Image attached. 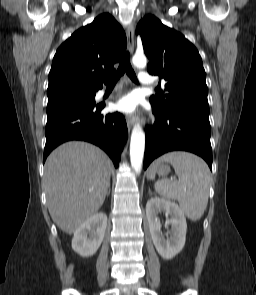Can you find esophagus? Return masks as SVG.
Wrapping results in <instances>:
<instances>
[{
  "label": "esophagus",
  "instance_id": "obj_1",
  "mask_svg": "<svg viewBox=\"0 0 256 295\" xmlns=\"http://www.w3.org/2000/svg\"><path fill=\"white\" fill-rule=\"evenodd\" d=\"M127 46L129 53L132 54L134 51V25L132 23H130L127 27ZM135 120L136 118L134 115L126 117V123L129 131L135 124Z\"/></svg>",
  "mask_w": 256,
  "mask_h": 295
}]
</instances>
